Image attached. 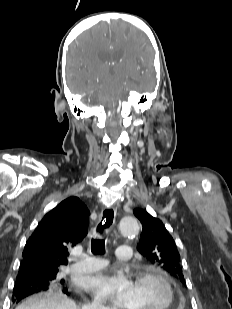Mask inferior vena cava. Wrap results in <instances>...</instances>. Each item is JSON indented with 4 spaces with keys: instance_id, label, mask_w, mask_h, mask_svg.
Returning <instances> with one entry per match:
<instances>
[{
    "instance_id": "inferior-vena-cava-1",
    "label": "inferior vena cava",
    "mask_w": 232,
    "mask_h": 309,
    "mask_svg": "<svg viewBox=\"0 0 232 309\" xmlns=\"http://www.w3.org/2000/svg\"><path fill=\"white\" fill-rule=\"evenodd\" d=\"M83 309H105L98 301H94L92 304L85 306Z\"/></svg>"
}]
</instances>
